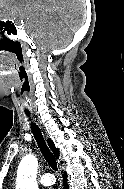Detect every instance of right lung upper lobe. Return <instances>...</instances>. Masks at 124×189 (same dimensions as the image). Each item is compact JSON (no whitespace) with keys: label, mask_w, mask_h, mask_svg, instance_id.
<instances>
[{"label":"right lung upper lobe","mask_w":124,"mask_h":189,"mask_svg":"<svg viewBox=\"0 0 124 189\" xmlns=\"http://www.w3.org/2000/svg\"><path fill=\"white\" fill-rule=\"evenodd\" d=\"M48 145L50 147V149L52 150V152L54 153L56 158H59V151L58 149L55 147L54 143L52 142V140H48Z\"/></svg>","instance_id":"1"}]
</instances>
